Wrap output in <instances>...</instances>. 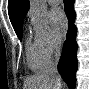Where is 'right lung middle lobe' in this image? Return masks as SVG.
<instances>
[{
	"label": "right lung middle lobe",
	"instance_id": "right-lung-middle-lobe-1",
	"mask_svg": "<svg viewBox=\"0 0 89 89\" xmlns=\"http://www.w3.org/2000/svg\"><path fill=\"white\" fill-rule=\"evenodd\" d=\"M22 27H23V23H21L20 26L15 30V32L20 40L22 39Z\"/></svg>",
	"mask_w": 89,
	"mask_h": 89
}]
</instances>
